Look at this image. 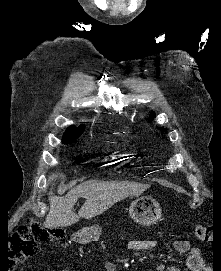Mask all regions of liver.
<instances>
[{
	"label": "liver",
	"mask_w": 221,
	"mask_h": 271,
	"mask_svg": "<svg viewBox=\"0 0 221 271\" xmlns=\"http://www.w3.org/2000/svg\"><path fill=\"white\" fill-rule=\"evenodd\" d=\"M141 191L143 189L137 191V187L129 185V183H107V181H94V179L80 183L64 197L49 191L50 209L44 225L45 227H66V225L79 221L80 217L92 219L96 215H101L116 201L128 197L131 193L136 195ZM79 195L85 197V201L78 213H75L73 207Z\"/></svg>",
	"instance_id": "liver-1"
}]
</instances>
